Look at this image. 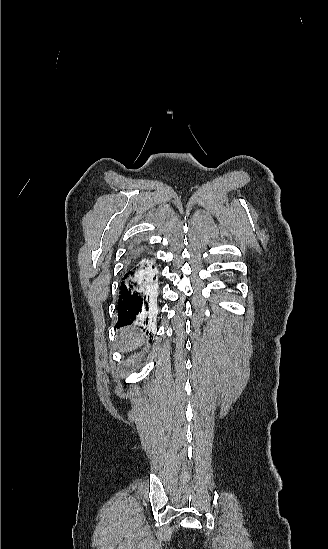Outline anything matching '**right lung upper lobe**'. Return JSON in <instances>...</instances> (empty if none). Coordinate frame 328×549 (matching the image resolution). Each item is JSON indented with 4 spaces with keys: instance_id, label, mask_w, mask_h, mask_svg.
I'll return each instance as SVG.
<instances>
[{
    "instance_id": "right-lung-upper-lobe-1",
    "label": "right lung upper lobe",
    "mask_w": 328,
    "mask_h": 549,
    "mask_svg": "<svg viewBox=\"0 0 328 549\" xmlns=\"http://www.w3.org/2000/svg\"><path fill=\"white\" fill-rule=\"evenodd\" d=\"M138 256H144V254H143V253H140L139 255L135 256V258L138 257Z\"/></svg>"
}]
</instances>
